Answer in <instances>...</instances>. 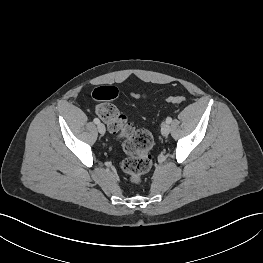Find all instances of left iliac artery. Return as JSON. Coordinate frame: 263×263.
Segmentation results:
<instances>
[{"mask_svg": "<svg viewBox=\"0 0 263 263\" xmlns=\"http://www.w3.org/2000/svg\"><path fill=\"white\" fill-rule=\"evenodd\" d=\"M166 122H167V123H171V122H172V118H171V117H168V118L166 119Z\"/></svg>", "mask_w": 263, "mask_h": 263, "instance_id": "1", "label": "left iliac artery"}]
</instances>
